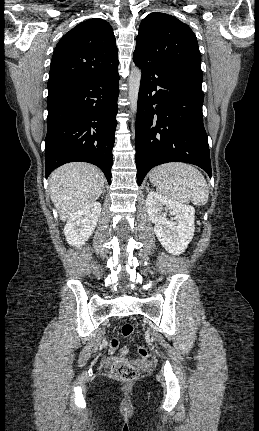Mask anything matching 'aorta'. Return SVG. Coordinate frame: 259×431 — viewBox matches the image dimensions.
<instances>
[{
	"mask_svg": "<svg viewBox=\"0 0 259 431\" xmlns=\"http://www.w3.org/2000/svg\"><path fill=\"white\" fill-rule=\"evenodd\" d=\"M141 81V70L137 67L133 68L129 77V101L131 112L135 115L137 112V101L139 95Z\"/></svg>",
	"mask_w": 259,
	"mask_h": 431,
	"instance_id": "762f6f07",
	"label": "aorta"
}]
</instances>
